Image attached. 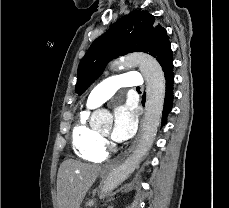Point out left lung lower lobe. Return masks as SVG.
<instances>
[{"instance_id":"left-lung-lower-lobe-1","label":"left lung lower lobe","mask_w":229,"mask_h":208,"mask_svg":"<svg viewBox=\"0 0 229 208\" xmlns=\"http://www.w3.org/2000/svg\"><path fill=\"white\" fill-rule=\"evenodd\" d=\"M163 71H164L165 80H166V94H165L164 107H163V113H162V125H165L167 122V115L170 113L172 109V105H173L174 73H173L172 60H170L166 64ZM142 104L144 105V98H143Z\"/></svg>"}]
</instances>
